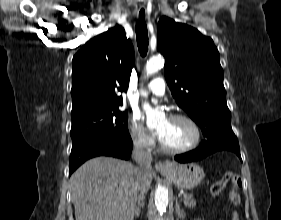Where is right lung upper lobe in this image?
I'll return each instance as SVG.
<instances>
[{
  "label": "right lung upper lobe",
  "mask_w": 281,
  "mask_h": 220,
  "mask_svg": "<svg viewBox=\"0 0 281 220\" xmlns=\"http://www.w3.org/2000/svg\"><path fill=\"white\" fill-rule=\"evenodd\" d=\"M72 118L122 105L134 65V49L116 25L90 39L73 57Z\"/></svg>",
  "instance_id": "1"
}]
</instances>
